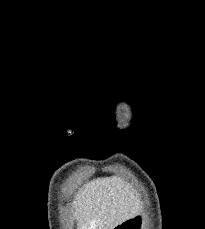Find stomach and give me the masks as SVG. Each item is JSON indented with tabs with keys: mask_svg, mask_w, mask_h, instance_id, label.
I'll use <instances>...</instances> for the list:
<instances>
[{
	"mask_svg": "<svg viewBox=\"0 0 205 229\" xmlns=\"http://www.w3.org/2000/svg\"><path fill=\"white\" fill-rule=\"evenodd\" d=\"M113 229H147V215L143 211L136 212Z\"/></svg>",
	"mask_w": 205,
	"mask_h": 229,
	"instance_id": "stomach-1",
	"label": "stomach"
}]
</instances>
